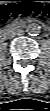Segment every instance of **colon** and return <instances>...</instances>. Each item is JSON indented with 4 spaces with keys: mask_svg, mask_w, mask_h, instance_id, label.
<instances>
[{
    "mask_svg": "<svg viewBox=\"0 0 50 111\" xmlns=\"http://www.w3.org/2000/svg\"><path fill=\"white\" fill-rule=\"evenodd\" d=\"M40 16L48 18L50 8L43 0H12L0 8V19L7 21L12 17Z\"/></svg>",
    "mask_w": 50,
    "mask_h": 111,
    "instance_id": "1",
    "label": "colon"
}]
</instances>
